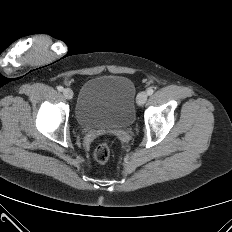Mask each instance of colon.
I'll list each match as a JSON object with an SVG mask.
<instances>
[{"mask_svg":"<svg viewBox=\"0 0 232 232\" xmlns=\"http://www.w3.org/2000/svg\"><path fill=\"white\" fill-rule=\"evenodd\" d=\"M111 156L110 144L106 141L101 142L94 151L95 159L100 163H105Z\"/></svg>","mask_w":232,"mask_h":232,"instance_id":"5ec220e1","label":"colon"}]
</instances>
